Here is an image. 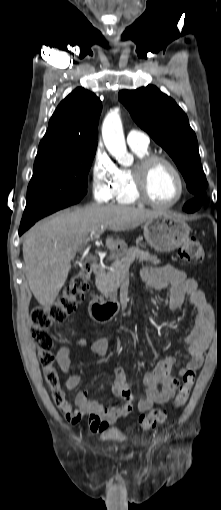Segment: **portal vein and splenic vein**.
I'll return each instance as SVG.
<instances>
[{
	"instance_id": "portal-vein-and-splenic-vein-1",
	"label": "portal vein and splenic vein",
	"mask_w": 221,
	"mask_h": 510,
	"mask_svg": "<svg viewBox=\"0 0 221 510\" xmlns=\"http://www.w3.org/2000/svg\"><path fill=\"white\" fill-rule=\"evenodd\" d=\"M103 229H104V227H103V226H101V231H99L98 233H94V232H93V233L91 234V238H90V239H91L92 241H93V240H97V239L100 237V234L102 233Z\"/></svg>"
}]
</instances>
